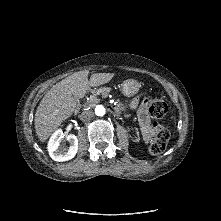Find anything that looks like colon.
I'll return each instance as SVG.
<instances>
[{"instance_id": "colon-1", "label": "colon", "mask_w": 221, "mask_h": 221, "mask_svg": "<svg viewBox=\"0 0 221 221\" xmlns=\"http://www.w3.org/2000/svg\"><path fill=\"white\" fill-rule=\"evenodd\" d=\"M167 110V104L162 98L158 96H151L149 98L148 112L153 118H162L166 115ZM153 125L155 129V137L150 143L149 151L152 155H159L165 150L167 146L170 138V132L166 127L157 122Z\"/></svg>"}]
</instances>
